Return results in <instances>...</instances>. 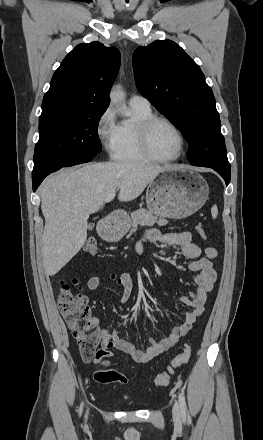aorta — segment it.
Here are the masks:
<instances>
[{
	"mask_svg": "<svg viewBox=\"0 0 263 440\" xmlns=\"http://www.w3.org/2000/svg\"><path fill=\"white\" fill-rule=\"evenodd\" d=\"M125 98V94L120 86L114 87L110 92V100L112 103L117 104ZM123 115L129 117L131 113L129 111H123Z\"/></svg>",
	"mask_w": 263,
	"mask_h": 440,
	"instance_id": "obj_1",
	"label": "aorta"
}]
</instances>
